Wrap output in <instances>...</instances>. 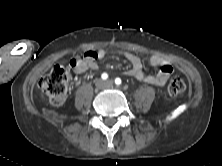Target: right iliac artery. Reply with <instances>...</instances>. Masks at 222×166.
I'll return each mask as SVG.
<instances>
[{
  "instance_id": "right-iliac-artery-1",
  "label": "right iliac artery",
  "mask_w": 222,
  "mask_h": 166,
  "mask_svg": "<svg viewBox=\"0 0 222 166\" xmlns=\"http://www.w3.org/2000/svg\"><path fill=\"white\" fill-rule=\"evenodd\" d=\"M101 78H102L103 80H106V79L108 78V74H107V73H103V74L101 75Z\"/></svg>"
}]
</instances>
